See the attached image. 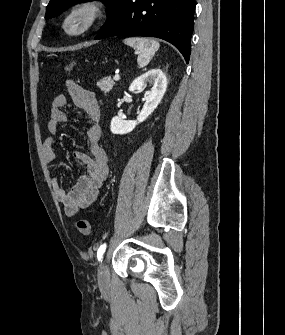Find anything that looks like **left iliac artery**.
<instances>
[{"instance_id": "obj_1", "label": "left iliac artery", "mask_w": 285, "mask_h": 335, "mask_svg": "<svg viewBox=\"0 0 285 335\" xmlns=\"http://www.w3.org/2000/svg\"><path fill=\"white\" fill-rule=\"evenodd\" d=\"M105 250H106V244H103L99 247V249L97 251V258H98L99 261H102L101 259H102V256H103Z\"/></svg>"}]
</instances>
